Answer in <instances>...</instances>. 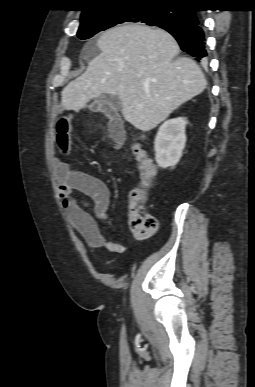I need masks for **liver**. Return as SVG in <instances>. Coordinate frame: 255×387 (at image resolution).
Masks as SVG:
<instances>
[{
  "label": "liver",
  "mask_w": 255,
  "mask_h": 387,
  "mask_svg": "<svg viewBox=\"0 0 255 387\" xmlns=\"http://www.w3.org/2000/svg\"><path fill=\"white\" fill-rule=\"evenodd\" d=\"M97 46L101 53L61 92L67 110L79 111L93 98L115 95L123 118L150 131L206 88L199 66L188 57L176 58L178 43L160 28L114 27L99 37Z\"/></svg>",
  "instance_id": "1"
}]
</instances>
